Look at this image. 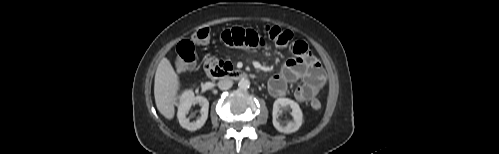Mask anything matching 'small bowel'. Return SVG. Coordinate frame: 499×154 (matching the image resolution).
I'll return each mask as SVG.
<instances>
[{
	"instance_id": "small-bowel-1",
	"label": "small bowel",
	"mask_w": 499,
	"mask_h": 154,
	"mask_svg": "<svg viewBox=\"0 0 499 154\" xmlns=\"http://www.w3.org/2000/svg\"><path fill=\"white\" fill-rule=\"evenodd\" d=\"M221 42L230 48L266 47L263 36L254 30L239 27L224 31L221 34ZM289 50L293 57L287 60L279 74L269 79V92L274 97H283L291 84L302 81V84L295 89L294 97L299 103L309 102L325 87L324 69L305 41L291 42Z\"/></svg>"
}]
</instances>
